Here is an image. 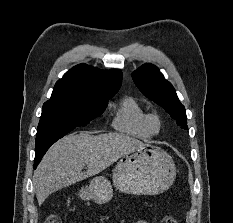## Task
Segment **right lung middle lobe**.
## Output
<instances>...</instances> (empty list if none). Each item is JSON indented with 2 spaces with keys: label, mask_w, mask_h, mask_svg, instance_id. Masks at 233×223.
Wrapping results in <instances>:
<instances>
[{
  "label": "right lung middle lobe",
  "mask_w": 233,
  "mask_h": 223,
  "mask_svg": "<svg viewBox=\"0 0 233 223\" xmlns=\"http://www.w3.org/2000/svg\"><path fill=\"white\" fill-rule=\"evenodd\" d=\"M107 104L69 98H51L45 102L37 129L36 154L45 152L74 128L86 126L104 112Z\"/></svg>",
  "instance_id": "obj_1"
}]
</instances>
